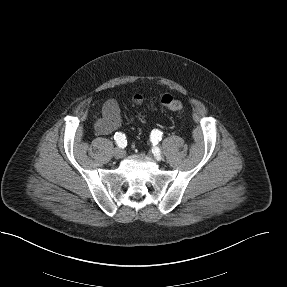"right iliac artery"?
<instances>
[{
  "label": "right iliac artery",
  "instance_id": "obj_1",
  "mask_svg": "<svg viewBox=\"0 0 287 287\" xmlns=\"http://www.w3.org/2000/svg\"><path fill=\"white\" fill-rule=\"evenodd\" d=\"M114 139L116 140L117 142V145L120 147V148H125L126 145H127V140H126V137L124 134H122L121 132H116L115 135H114Z\"/></svg>",
  "mask_w": 287,
  "mask_h": 287
}]
</instances>
